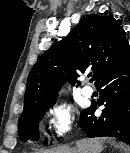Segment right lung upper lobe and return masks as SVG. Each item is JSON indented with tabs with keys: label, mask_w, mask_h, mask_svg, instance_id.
Returning <instances> with one entry per match:
<instances>
[{
	"label": "right lung upper lobe",
	"mask_w": 130,
	"mask_h": 153,
	"mask_svg": "<svg viewBox=\"0 0 130 153\" xmlns=\"http://www.w3.org/2000/svg\"><path fill=\"white\" fill-rule=\"evenodd\" d=\"M130 56L125 31L112 16L91 14L52 45L31 69L23 112L56 101L61 81L75 80L87 69L97 81Z\"/></svg>",
	"instance_id": "right-lung-upper-lobe-1"
}]
</instances>
